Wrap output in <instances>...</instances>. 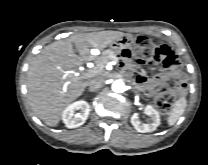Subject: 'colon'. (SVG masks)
<instances>
[{"instance_id":"obj_1","label":"colon","mask_w":208,"mask_h":165,"mask_svg":"<svg viewBox=\"0 0 208 165\" xmlns=\"http://www.w3.org/2000/svg\"><path fill=\"white\" fill-rule=\"evenodd\" d=\"M134 57L141 63L162 65L167 69H176L180 65L177 56L170 47L167 45H156L144 36H139L136 40ZM183 88V83L174 84L167 82L163 84L155 99L156 108L163 114L169 113L177 101V93L182 91Z\"/></svg>"}]
</instances>
